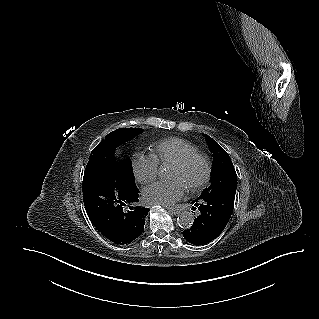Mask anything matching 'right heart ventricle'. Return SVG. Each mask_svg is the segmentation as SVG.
<instances>
[{
	"mask_svg": "<svg viewBox=\"0 0 319 319\" xmlns=\"http://www.w3.org/2000/svg\"><path fill=\"white\" fill-rule=\"evenodd\" d=\"M198 151L197 147L190 141L171 137L155 143L152 146V156L158 164L168 165L180 159L186 154Z\"/></svg>",
	"mask_w": 319,
	"mask_h": 319,
	"instance_id": "right-heart-ventricle-1",
	"label": "right heart ventricle"
}]
</instances>
